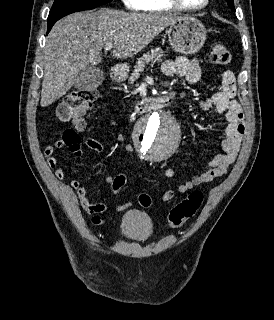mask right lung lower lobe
Here are the masks:
<instances>
[{"label": "right lung lower lobe", "instance_id": "obj_1", "mask_svg": "<svg viewBox=\"0 0 274 320\" xmlns=\"http://www.w3.org/2000/svg\"><path fill=\"white\" fill-rule=\"evenodd\" d=\"M56 22V21H55ZM55 22H48V30H47V34L49 33V31L51 30L52 26L55 24Z\"/></svg>", "mask_w": 274, "mask_h": 320}]
</instances>
